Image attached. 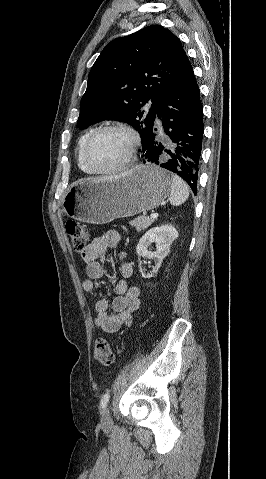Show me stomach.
<instances>
[{
  "label": "stomach",
  "mask_w": 266,
  "mask_h": 479,
  "mask_svg": "<svg viewBox=\"0 0 266 479\" xmlns=\"http://www.w3.org/2000/svg\"><path fill=\"white\" fill-rule=\"evenodd\" d=\"M172 180L171 173L158 166L137 165L124 176L72 185L62 209L78 221L105 224L158 207L168 197Z\"/></svg>",
  "instance_id": "1"
}]
</instances>
